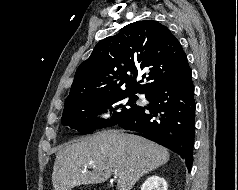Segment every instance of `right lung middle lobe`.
<instances>
[{"label": "right lung middle lobe", "mask_w": 238, "mask_h": 190, "mask_svg": "<svg viewBox=\"0 0 238 190\" xmlns=\"http://www.w3.org/2000/svg\"><path fill=\"white\" fill-rule=\"evenodd\" d=\"M135 94V92H125L113 95L83 94L76 96L71 100L69 106L64 108L62 124L83 133L114 126L142 108L136 104L138 97ZM107 109L113 111L110 119L96 117Z\"/></svg>", "instance_id": "right-lung-middle-lobe-1"}]
</instances>
